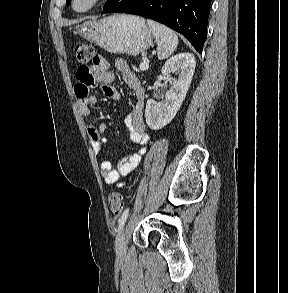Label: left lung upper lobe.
<instances>
[{
	"label": "left lung upper lobe",
	"mask_w": 288,
	"mask_h": 293,
	"mask_svg": "<svg viewBox=\"0 0 288 293\" xmlns=\"http://www.w3.org/2000/svg\"><path fill=\"white\" fill-rule=\"evenodd\" d=\"M114 0H107L104 7H107L108 5H110ZM71 2V0H66V5H69V3Z\"/></svg>",
	"instance_id": "left-lung-upper-lobe-1"
}]
</instances>
